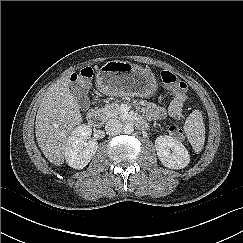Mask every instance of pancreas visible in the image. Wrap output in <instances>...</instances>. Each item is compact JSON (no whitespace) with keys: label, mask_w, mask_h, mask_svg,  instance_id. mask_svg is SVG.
Here are the masks:
<instances>
[{"label":"pancreas","mask_w":243,"mask_h":243,"mask_svg":"<svg viewBox=\"0 0 243 243\" xmlns=\"http://www.w3.org/2000/svg\"><path fill=\"white\" fill-rule=\"evenodd\" d=\"M101 114L104 119L117 118L121 115L120 106L117 103L107 104L101 108Z\"/></svg>","instance_id":"1"}]
</instances>
